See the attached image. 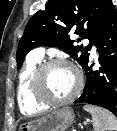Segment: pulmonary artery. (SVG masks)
I'll use <instances>...</instances> for the list:
<instances>
[{"instance_id": "e3ab8cb5", "label": "pulmonary artery", "mask_w": 117, "mask_h": 131, "mask_svg": "<svg viewBox=\"0 0 117 131\" xmlns=\"http://www.w3.org/2000/svg\"><path fill=\"white\" fill-rule=\"evenodd\" d=\"M92 53L96 54V48H92ZM43 57V50L42 49H36L30 53V58H42Z\"/></svg>"}]
</instances>
